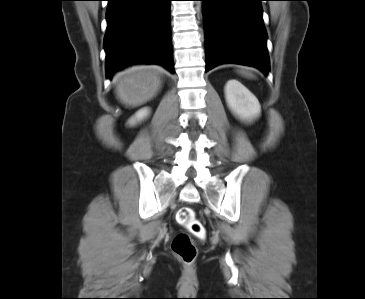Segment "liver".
I'll return each mask as SVG.
<instances>
[{
    "label": "liver",
    "mask_w": 365,
    "mask_h": 299,
    "mask_svg": "<svg viewBox=\"0 0 365 299\" xmlns=\"http://www.w3.org/2000/svg\"><path fill=\"white\" fill-rule=\"evenodd\" d=\"M161 84L159 67L134 66L117 75L115 91L122 104L137 107L151 100Z\"/></svg>",
    "instance_id": "6515ba94"
}]
</instances>
